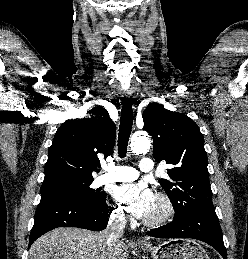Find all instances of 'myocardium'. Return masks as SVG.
<instances>
[{"mask_svg":"<svg viewBox=\"0 0 248 259\" xmlns=\"http://www.w3.org/2000/svg\"><path fill=\"white\" fill-rule=\"evenodd\" d=\"M155 198L161 202L163 206L162 213L155 218H145L143 220L144 224L149 227H157L166 224L175 215V206L171 198L163 193L157 192Z\"/></svg>","mask_w":248,"mask_h":259,"instance_id":"obj_1","label":"myocardium"}]
</instances>
